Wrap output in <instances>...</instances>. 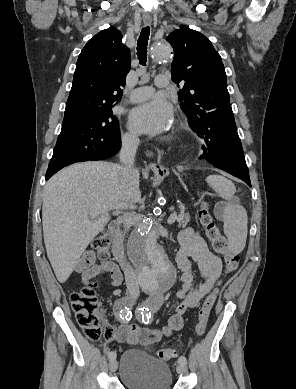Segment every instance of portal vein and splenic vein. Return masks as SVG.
<instances>
[{"label": "portal vein and splenic vein", "instance_id": "1", "mask_svg": "<svg viewBox=\"0 0 296 389\" xmlns=\"http://www.w3.org/2000/svg\"><path fill=\"white\" fill-rule=\"evenodd\" d=\"M123 208H135V206L133 204L120 203L117 204L113 209H123ZM95 213H97V211H95ZM176 219H177V214L176 213L171 214L170 217L168 218V224H173Z\"/></svg>", "mask_w": 296, "mask_h": 389}]
</instances>
